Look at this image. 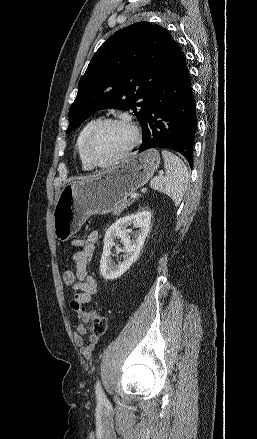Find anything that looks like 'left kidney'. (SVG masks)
I'll return each instance as SVG.
<instances>
[{
    "label": "left kidney",
    "instance_id": "obj_1",
    "mask_svg": "<svg viewBox=\"0 0 257 439\" xmlns=\"http://www.w3.org/2000/svg\"><path fill=\"white\" fill-rule=\"evenodd\" d=\"M150 224V212L142 210L136 214L118 219L107 229L104 236V247L100 260V272L105 279H117L138 259L141 248L150 231ZM131 225L139 228L132 239L128 234L130 230L127 229V227ZM116 238H121L124 244V252L126 253L123 257V261L118 264H115L111 258V250L112 247L115 246L114 240Z\"/></svg>",
    "mask_w": 257,
    "mask_h": 439
}]
</instances>
